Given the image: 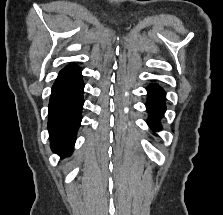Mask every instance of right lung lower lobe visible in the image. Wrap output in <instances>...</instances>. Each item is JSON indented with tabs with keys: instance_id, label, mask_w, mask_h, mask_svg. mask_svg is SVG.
<instances>
[{
	"instance_id": "right-lung-lower-lobe-1",
	"label": "right lung lower lobe",
	"mask_w": 223,
	"mask_h": 215,
	"mask_svg": "<svg viewBox=\"0 0 223 215\" xmlns=\"http://www.w3.org/2000/svg\"><path fill=\"white\" fill-rule=\"evenodd\" d=\"M84 83L81 69L57 78L50 96L48 130L53 152L67 157L72 153L81 122Z\"/></svg>"
}]
</instances>
